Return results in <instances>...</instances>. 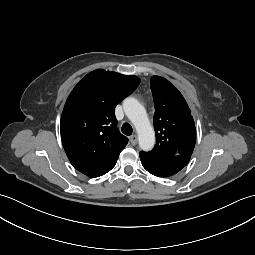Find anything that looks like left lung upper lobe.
<instances>
[{
	"instance_id": "5c2ea615",
	"label": "left lung upper lobe",
	"mask_w": 255,
	"mask_h": 255,
	"mask_svg": "<svg viewBox=\"0 0 255 255\" xmlns=\"http://www.w3.org/2000/svg\"><path fill=\"white\" fill-rule=\"evenodd\" d=\"M150 86L156 110L153 118L156 144L152 151L141 153L157 161L191 157L196 128L184 97L163 77L153 76Z\"/></svg>"
}]
</instances>
